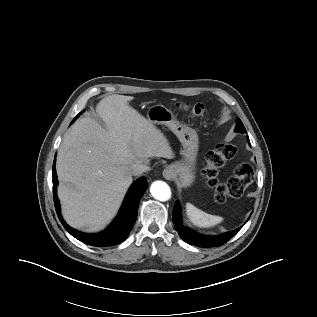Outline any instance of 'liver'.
Returning <instances> with one entry per match:
<instances>
[{"label":"liver","mask_w":317,"mask_h":317,"mask_svg":"<svg viewBox=\"0 0 317 317\" xmlns=\"http://www.w3.org/2000/svg\"><path fill=\"white\" fill-rule=\"evenodd\" d=\"M132 96L103 98L96 112L106 124L79 119L64 137L56 169L62 214L73 228L94 232L116 215L133 182L131 167L151 157L172 159L166 136L129 105Z\"/></svg>","instance_id":"liver-1"}]
</instances>
